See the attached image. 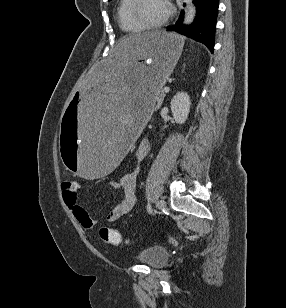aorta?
<instances>
[{
	"label": "aorta",
	"instance_id": "1",
	"mask_svg": "<svg viewBox=\"0 0 286 308\" xmlns=\"http://www.w3.org/2000/svg\"><path fill=\"white\" fill-rule=\"evenodd\" d=\"M195 16H196V8L191 1H188L183 19V24L190 25L193 22Z\"/></svg>",
	"mask_w": 286,
	"mask_h": 308
}]
</instances>
